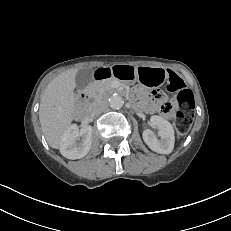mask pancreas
<instances>
[{
    "label": "pancreas",
    "instance_id": "1",
    "mask_svg": "<svg viewBox=\"0 0 231 231\" xmlns=\"http://www.w3.org/2000/svg\"><path fill=\"white\" fill-rule=\"evenodd\" d=\"M111 81H106L103 84H101V90H106L110 87Z\"/></svg>",
    "mask_w": 231,
    "mask_h": 231
}]
</instances>
